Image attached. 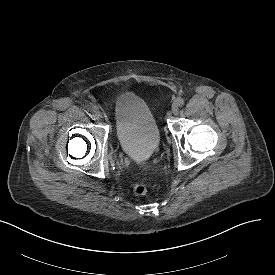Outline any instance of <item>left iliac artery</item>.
Segmentation results:
<instances>
[{"instance_id": "1", "label": "left iliac artery", "mask_w": 275, "mask_h": 275, "mask_svg": "<svg viewBox=\"0 0 275 275\" xmlns=\"http://www.w3.org/2000/svg\"><path fill=\"white\" fill-rule=\"evenodd\" d=\"M176 103H177L178 106H182L184 104V100L181 97H178L176 99Z\"/></svg>"}]
</instances>
